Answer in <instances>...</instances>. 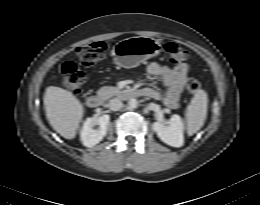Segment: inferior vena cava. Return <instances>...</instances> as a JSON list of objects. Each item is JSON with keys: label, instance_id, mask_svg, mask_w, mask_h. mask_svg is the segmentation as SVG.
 Segmentation results:
<instances>
[{"label": "inferior vena cava", "instance_id": "inferior-vena-cava-1", "mask_svg": "<svg viewBox=\"0 0 260 205\" xmlns=\"http://www.w3.org/2000/svg\"><path fill=\"white\" fill-rule=\"evenodd\" d=\"M123 107V103L120 99L114 98L109 101V108L112 111H118Z\"/></svg>", "mask_w": 260, "mask_h": 205}]
</instances>
